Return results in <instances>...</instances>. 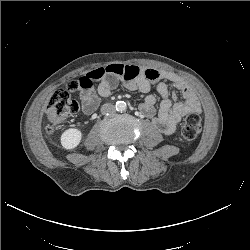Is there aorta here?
<instances>
[{
	"label": "aorta",
	"instance_id": "aorta-1",
	"mask_svg": "<svg viewBox=\"0 0 250 250\" xmlns=\"http://www.w3.org/2000/svg\"><path fill=\"white\" fill-rule=\"evenodd\" d=\"M115 108L117 111H125L127 108V105L124 101H118L116 102Z\"/></svg>",
	"mask_w": 250,
	"mask_h": 250
}]
</instances>
